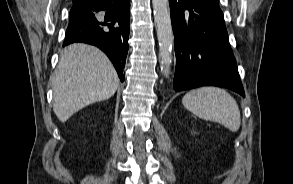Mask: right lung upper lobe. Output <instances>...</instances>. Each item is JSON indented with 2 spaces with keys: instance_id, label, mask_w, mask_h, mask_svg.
Wrapping results in <instances>:
<instances>
[{
  "instance_id": "cb5924a9",
  "label": "right lung upper lobe",
  "mask_w": 293,
  "mask_h": 184,
  "mask_svg": "<svg viewBox=\"0 0 293 184\" xmlns=\"http://www.w3.org/2000/svg\"><path fill=\"white\" fill-rule=\"evenodd\" d=\"M97 0H73V4H78V3H82V2H94Z\"/></svg>"
}]
</instances>
